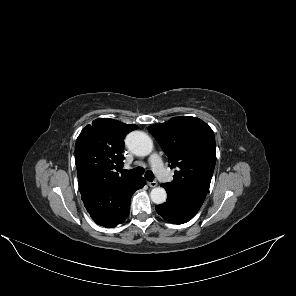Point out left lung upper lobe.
Wrapping results in <instances>:
<instances>
[{"instance_id":"1","label":"left lung upper lobe","mask_w":296,"mask_h":296,"mask_svg":"<svg viewBox=\"0 0 296 296\" xmlns=\"http://www.w3.org/2000/svg\"><path fill=\"white\" fill-rule=\"evenodd\" d=\"M168 156L171 168L177 166L167 193L186 197H206L216 163L212 129L196 117H174L148 128Z\"/></svg>"}]
</instances>
